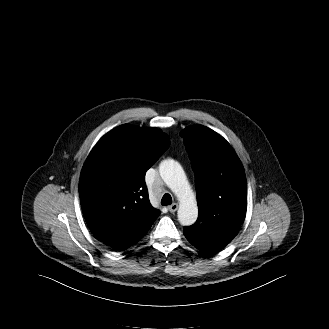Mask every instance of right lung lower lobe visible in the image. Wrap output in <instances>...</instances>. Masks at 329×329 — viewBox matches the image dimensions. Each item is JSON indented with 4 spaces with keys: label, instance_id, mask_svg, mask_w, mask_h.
Wrapping results in <instances>:
<instances>
[{
    "label": "right lung lower lobe",
    "instance_id": "98d812e1",
    "mask_svg": "<svg viewBox=\"0 0 329 329\" xmlns=\"http://www.w3.org/2000/svg\"><path fill=\"white\" fill-rule=\"evenodd\" d=\"M137 242V241H136ZM136 242L132 243V244H128V245H118L115 247H112L115 251H123L127 248H129L130 246H132L133 244H135Z\"/></svg>",
    "mask_w": 329,
    "mask_h": 329
}]
</instances>
